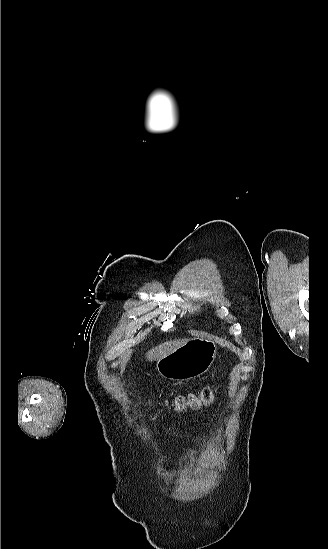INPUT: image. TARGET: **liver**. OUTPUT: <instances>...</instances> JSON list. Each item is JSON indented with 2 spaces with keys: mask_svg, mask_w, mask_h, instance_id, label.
<instances>
[{
  "mask_svg": "<svg viewBox=\"0 0 328 549\" xmlns=\"http://www.w3.org/2000/svg\"><path fill=\"white\" fill-rule=\"evenodd\" d=\"M188 339H176V341H167V343H162L159 347H154L151 351L146 353L148 361H156V359H162V357H167L169 353H173L179 347H182L184 343H187Z\"/></svg>",
  "mask_w": 328,
  "mask_h": 549,
  "instance_id": "6515ba94",
  "label": "liver"
}]
</instances>
